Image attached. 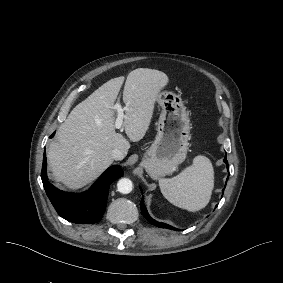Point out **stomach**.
Wrapping results in <instances>:
<instances>
[{
    "label": "stomach",
    "instance_id": "1",
    "mask_svg": "<svg viewBox=\"0 0 283 283\" xmlns=\"http://www.w3.org/2000/svg\"><path fill=\"white\" fill-rule=\"evenodd\" d=\"M156 101L162 108L158 132L141 163L153 179L171 174L186 159L190 137L189 116L181 96L160 91Z\"/></svg>",
    "mask_w": 283,
    "mask_h": 283
}]
</instances>
